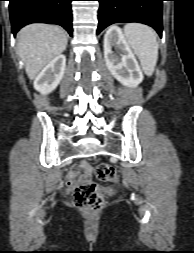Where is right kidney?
Wrapping results in <instances>:
<instances>
[{
  "instance_id": "obj_1",
  "label": "right kidney",
  "mask_w": 194,
  "mask_h": 253,
  "mask_svg": "<svg viewBox=\"0 0 194 253\" xmlns=\"http://www.w3.org/2000/svg\"><path fill=\"white\" fill-rule=\"evenodd\" d=\"M65 67V55H58L35 78L34 88L41 94L52 92L62 80Z\"/></svg>"
}]
</instances>
